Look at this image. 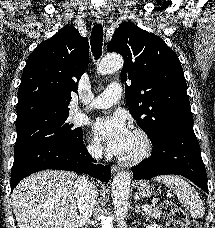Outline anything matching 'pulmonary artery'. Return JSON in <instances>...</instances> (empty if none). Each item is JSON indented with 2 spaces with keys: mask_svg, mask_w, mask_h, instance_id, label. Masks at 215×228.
Segmentation results:
<instances>
[{
  "mask_svg": "<svg viewBox=\"0 0 215 228\" xmlns=\"http://www.w3.org/2000/svg\"><path fill=\"white\" fill-rule=\"evenodd\" d=\"M121 94V84H106V90L101 93L88 108H108L120 100Z\"/></svg>",
  "mask_w": 215,
  "mask_h": 228,
  "instance_id": "pulmonary-artery-1",
  "label": "pulmonary artery"
}]
</instances>
